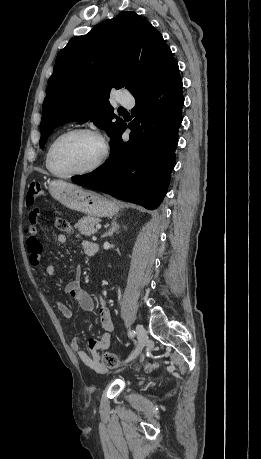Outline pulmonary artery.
I'll return each instance as SVG.
<instances>
[{
    "label": "pulmonary artery",
    "mask_w": 261,
    "mask_h": 459,
    "mask_svg": "<svg viewBox=\"0 0 261 459\" xmlns=\"http://www.w3.org/2000/svg\"><path fill=\"white\" fill-rule=\"evenodd\" d=\"M119 103L125 107H131L134 105V100L129 96H121L119 99Z\"/></svg>",
    "instance_id": "1"
}]
</instances>
